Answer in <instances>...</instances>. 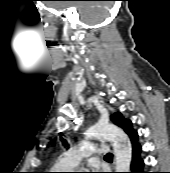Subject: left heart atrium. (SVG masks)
<instances>
[{
  "label": "left heart atrium",
  "instance_id": "obj_1",
  "mask_svg": "<svg viewBox=\"0 0 170 173\" xmlns=\"http://www.w3.org/2000/svg\"><path fill=\"white\" fill-rule=\"evenodd\" d=\"M91 170L94 172H98L99 169L97 167H91Z\"/></svg>",
  "mask_w": 170,
  "mask_h": 173
}]
</instances>
